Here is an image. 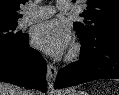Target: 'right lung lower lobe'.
<instances>
[{"mask_svg": "<svg viewBox=\"0 0 119 95\" xmlns=\"http://www.w3.org/2000/svg\"><path fill=\"white\" fill-rule=\"evenodd\" d=\"M28 34L19 40L0 42V81L47 90L46 62L28 46Z\"/></svg>", "mask_w": 119, "mask_h": 95, "instance_id": "obj_1", "label": "right lung lower lobe"}]
</instances>
